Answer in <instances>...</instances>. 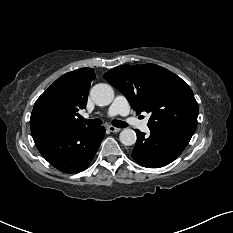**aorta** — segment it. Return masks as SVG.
Returning a JSON list of instances; mask_svg holds the SVG:
<instances>
[{"label":"aorta","instance_id":"762f6f07","mask_svg":"<svg viewBox=\"0 0 233 233\" xmlns=\"http://www.w3.org/2000/svg\"><path fill=\"white\" fill-rule=\"evenodd\" d=\"M90 95L96 105L107 106L114 98V91L110 85L100 83L93 86ZM119 139L123 145L131 146L136 143L137 136L134 130L125 128L121 131Z\"/></svg>","mask_w":233,"mask_h":233}]
</instances>
